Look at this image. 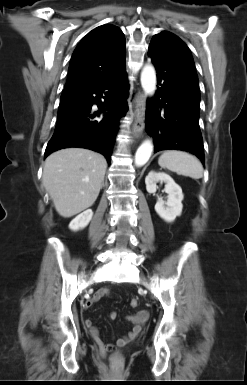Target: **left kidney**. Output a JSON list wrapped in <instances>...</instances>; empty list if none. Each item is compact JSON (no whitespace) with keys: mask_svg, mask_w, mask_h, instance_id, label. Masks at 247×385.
<instances>
[{"mask_svg":"<svg viewBox=\"0 0 247 385\" xmlns=\"http://www.w3.org/2000/svg\"><path fill=\"white\" fill-rule=\"evenodd\" d=\"M157 182L165 183V192L168 194L167 201L158 197L155 211L166 222H173L182 213V200L184 195L181 187L166 173L151 171L145 178L146 190L148 193H155Z\"/></svg>","mask_w":247,"mask_h":385,"instance_id":"left-kidney-1","label":"left kidney"}]
</instances>
